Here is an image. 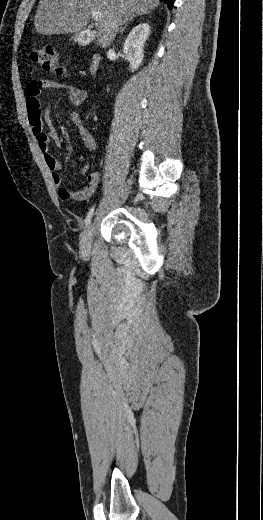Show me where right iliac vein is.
I'll list each match as a JSON object with an SVG mask.
<instances>
[{
    "label": "right iliac vein",
    "instance_id": "63e3f726",
    "mask_svg": "<svg viewBox=\"0 0 263 520\" xmlns=\"http://www.w3.org/2000/svg\"><path fill=\"white\" fill-rule=\"evenodd\" d=\"M93 228L90 225L87 230L83 233L80 240V253L83 256H87L91 250Z\"/></svg>",
    "mask_w": 263,
    "mask_h": 520
}]
</instances>
